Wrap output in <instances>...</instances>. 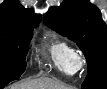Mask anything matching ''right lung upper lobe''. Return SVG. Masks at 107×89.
Instances as JSON below:
<instances>
[{
	"instance_id": "right-lung-upper-lobe-1",
	"label": "right lung upper lobe",
	"mask_w": 107,
	"mask_h": 89,
	"mask_svg": "<svg viewBox=\"0 0 107 89\" xmlns=\"http://www.w3.org/2000/svg\"><path fill=\"white\" fill-rule=\"evenodd\" d=\"M40 15H33L30 9H25L18 2L4 1L0 5V24L15 25L21 28L38 26Z\"/></svg>"
}]
</instances>
